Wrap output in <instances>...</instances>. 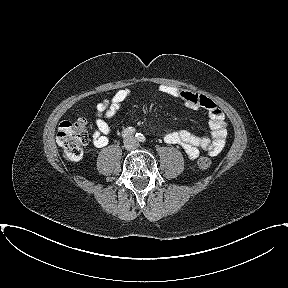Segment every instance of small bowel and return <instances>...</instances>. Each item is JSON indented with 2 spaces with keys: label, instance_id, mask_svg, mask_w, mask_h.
I'll list each match as a JSON object with an SVG mask.
<instances>
[{
  "label": "small bowel",
  "instance_id": "small-bowel-1",
  "mask_svg": "<svg viewBox=\"0 0 288 288\" xmlns=\"http://www.w3.org/2000/svg\"><path fill=\"white\" fill-rule=\"evenodd\" d=\"M159 91L182 100L188 109H204L209 117V127L211 129L210 137L199 136L187 130L169 132L164 136L165 142L181 146L190 159H196L200 151H206L211 156L218 155L226 143L227 122L224 113L215 102L205 95L169 85L159 86ZM130 96V89H121L110 99L103 100L96 105L95 128L92 132V141L96 147L102 148L109 143L108 136L111 129L107 120L121 109L123 103Z\"/></svg>",
  "mask_w": 288,
  "mask_h": 288
}]
</instances>
